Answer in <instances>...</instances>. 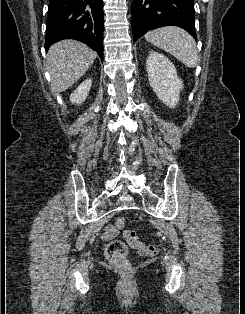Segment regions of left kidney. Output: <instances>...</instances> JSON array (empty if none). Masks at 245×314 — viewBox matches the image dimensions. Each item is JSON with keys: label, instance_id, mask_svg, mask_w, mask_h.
<instances>
[{"label": "left kidney", "instance_id": "left-kidney-1", "mask_svg": "<svg viewBox=\"0 0 245 314\" xmlns=\"http://www.w3.org/2000/svg\"><path fill=\"white\" fill-rule=\"evenodd\" d=\"M149 84L162 103L175 108L180 100L183 82L172 62L161 53L150 52L146 60Z\"/></svg>", "mask_w": 245, "mask_h": 314}]
</instances>
